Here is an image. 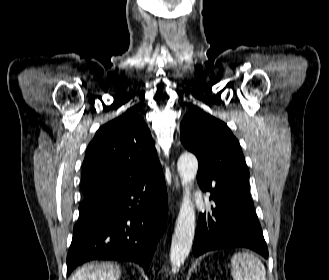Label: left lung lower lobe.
<instances>
[{"label":"left lung lower lobe","instance_id":"0a47b994","mask_svg":"<svg viewBox=\"0 0 329 280\" xmlns=\"http://www.w3.org/2000/svg\"><path fill=\"white\" fill-rule=\"evenodd\" d=\"M210 199L215 205L209 212L199 215L193 255L198 257L211 250L244 247L268 258L248 186L220 196L211 195Z\"/></svg>","mask_w":329,"mask_h":280}]
</instances>
